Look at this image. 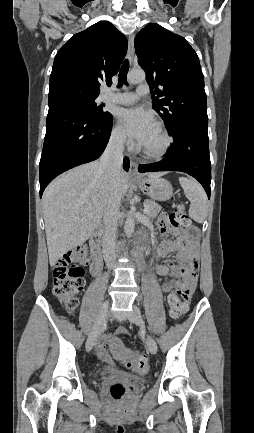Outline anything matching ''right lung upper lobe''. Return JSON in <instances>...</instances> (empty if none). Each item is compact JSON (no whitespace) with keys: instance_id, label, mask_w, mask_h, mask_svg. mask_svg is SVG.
<instances>
[{"instance_id":"obj_1","label":"right lung upper lobe","mask_w":254,"mask_h":433,"mask_svg":"<svg viewBox=\"0 0 254 433\" xmlns=\"http://www.w3.org/2000/svg\"><path fill=\"white\" fill-rule=\"evenodd\" d=\"M128 42L110 22L100 21L73 35L55 56L48 104L68 99H96L126 55Z\"/></svg>"}]
</instances>
